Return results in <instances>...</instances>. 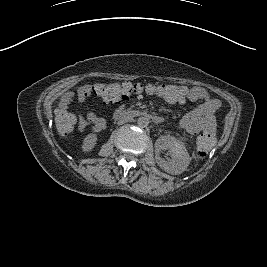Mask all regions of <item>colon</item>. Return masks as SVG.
I'll list each match as a JSON object with an SVG mask.
<instances>
[{"instance_id":"1","label":"colon","mask_w":267,"mask_h":267,"mask_svg":"<svg viewBox=\"0 0 267 267\" xmlns=\"http://www.w3.org/2000/svg\"><path fill=\"white\" fill-rule=\"evenodd\" d=\"M147 93L162 98L167 102H179L185 93L181 87L168 84L142 85L130 82L123 83H98L89 88L88 96L93 94L103 102H121L128 100L133 95ZM74 116L66 110H59L55 115V128L59 136L65 138L73 130ZM197 154L207 155L215 145L213 133L201 132L197 137Z\"/></svg>"}]
</instances>
